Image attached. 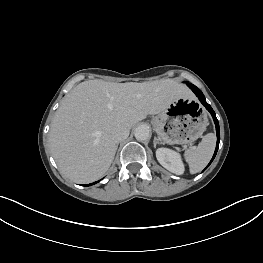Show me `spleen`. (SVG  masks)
<instances>
[{
    "mask_svg": "<svg viewBox=\"0 0 263 263\" xmlns=\"http://www.w3.org/2000/svg\"><path fill=\"white\" fill-rule=\"evenodd\" d=\"M215 144V135L208 133L196 148L185 151L184 156L189 164L191 174L200 172L207 165L213 155Z\"/></svg>",
    "mask_w": 263,
    "mask_h": 263,
    "instance_id": "spleen-1",
    "label": "spleen"
}]
</instances>
